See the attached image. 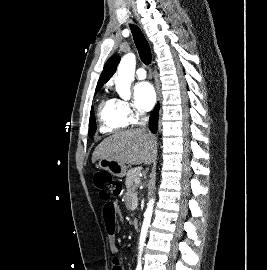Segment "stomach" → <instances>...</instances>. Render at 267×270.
Instances as JSON below:
<instances>
[{
	"label": "stomach",
	"mask_w": 267,
	"mask_h": 270,
	"mask_svg": "<svg viewBox=\"0 0 267 270\" xmlns=\"http://www.w3.org/2000/svg\"><path fill=\"white\" fill-rule=\"evenodd\" d=\"M96 166L119 178L124 177L127 173V167L124 163L109 158L99 159Z\"/></svg>",
	"instance_id": "1"
}]
</instances>
